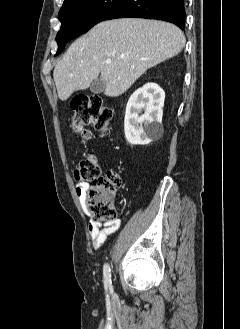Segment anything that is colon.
<instances>
[{"instance_id": "5ec220e1", "label": "colon", "mask_w": 240, "mask_h": 329, "mask_svg": "<svg viewBox=\"0 0 240 329\" xmlns=\"http://www.w3.org/2000/svg\"><path fill=\"white\" fill-rule=\"evenodd\" d=\"M71 106L74 110L72 128L81 137L89 138L88 126H94L103 135L109 133L112 110L104 104L101 96H78L73 99ZM73 178L77 184L93 182L85 193V205L93 219L103 223L114 221L116 191L121 184L119 173L111 170L101 176L97 158L93 154H86L74 168Z\"/></svg>"}]
</instances>
